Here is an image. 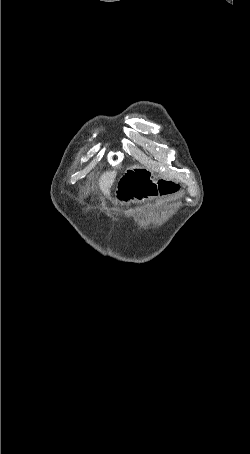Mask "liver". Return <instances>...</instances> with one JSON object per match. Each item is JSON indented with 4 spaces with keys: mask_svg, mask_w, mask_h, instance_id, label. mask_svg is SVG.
<instances>
[{
    "mask_svg": "<svg viewBox=\"0 0 250 454\" xmlns=\"http://www.w3.org/2000/svg\"><path fill=\"white\" fill-rule=\"evenodd\" d=\"M116 171H107L103 173L99 180V186L105 195L109 194L110 188L116 178Z\"/></svg>",
    "mask_w": 250,
    "mask_h": 454,
    "instance_id": "6515ba94",
    "label": "liver"
}]
</instances>
